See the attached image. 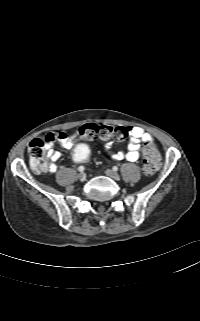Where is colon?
Instances as JSON below:
<instances>
[{
  "label": "colon",
  "mask_w": 200,
  "mask_h": 321,
  "mask_svg": "<svg viewBox=\"0 0 200 321\" xmlns=\"http://www.w3.org/2000/svg\"><path fill=\"white\" fill-rule=\"evenodd\" d=\"M127 131L123 127H112L108 125L86 124L79 127L71 138L76 140H110L122 141L125 139ZM53 139L52 135H46L45 139H34L28 147L30 164L35 172H45L48 170L46 141ZM71 162L74 165H81L89 158L90 147L85 142H78L71 146ZM161 157L159 151L153 143L145 144L143 148L142 170L145 175L154 174L160 167Z\"/></svg>",
  "instance_id": "1"
}]
</instances>
